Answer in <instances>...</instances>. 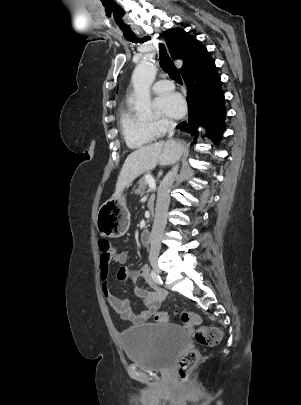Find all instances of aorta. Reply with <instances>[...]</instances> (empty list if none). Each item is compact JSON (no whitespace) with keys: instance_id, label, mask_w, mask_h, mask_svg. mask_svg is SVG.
I'll use <instances>...</instances> for the list:
<instances>
[{"instance_id":"obj_1","label":"aorta","mask_w":301,"mask_h":405,"mask_svg":"<svg viewBox=\"0 0 301 405\" xmlns=\"http://www.w3.org/2000/svg\"><path fill=\"white\" fill-rule=\"evenodd\" d=\"M157 69L150 59H143L134 69L132 83L135 95V110L137 114H151L150 87L154 82Z\"/></svg>"}]
</instances>
